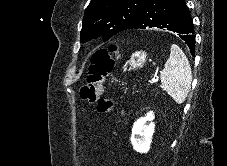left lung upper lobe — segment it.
Wrapping results in <instances>:
<instances>
[{"mask_svg": "<svg viewBox=\"0 0 227 166\" xmlns=\"http://www.w3.org/2000/svg\"><path fill=\"white\" fill-rule=\"evenodd\" d=\"M147 0H91L82 22L81 42L99 36L103 41L132 29Z\"/></svg>", "mask_w": 227, "mask_h": 166, "instance_id": "1", "label": "left lung upper lobe"}]
</instances>
